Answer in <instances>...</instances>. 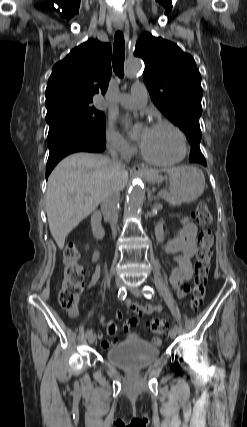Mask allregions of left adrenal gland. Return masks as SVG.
<instances>
[{
    "instance_id": "a2214340",
    "label": "left adrenal gland",
    "mask_w": 247,
    "mask_h": 427,
    "mask_svg": "<svg viewBox=\"0 0 247 427\" xmlns=\"http://www.w3.org/2000/svg\"><path fill=\"white\" fill-rule=\"evenodd\" d=\"M148 200L151 202V201H154L155 203L157 202V200H158V198L157 197H155V196H152V192H151V190H149L148 191Z\"/></svg>"
}]
</instances>
